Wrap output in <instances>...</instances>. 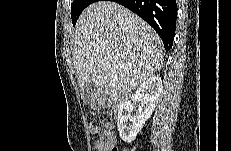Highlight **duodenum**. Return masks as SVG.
I'll list each match as a JSON object with an SVG mask.
<instances>
[{
  "instance_id": "1",
  "label": "duodenum",
  "mask_w": 231,
  "mask_h": 151,
  "mask_svg": "<svg viewBox=\"0 0 231 151\" xmlns=\"http://www.w3.org/2000/svg\"><path fill=\"white\" fill-rule=\"evenodd\" d=\"M110 103L113 107L118 108L121 105V100L118 98H112L110 99Z\"/></svg>"
}]
</instances>
